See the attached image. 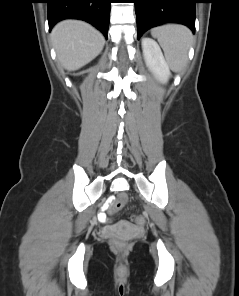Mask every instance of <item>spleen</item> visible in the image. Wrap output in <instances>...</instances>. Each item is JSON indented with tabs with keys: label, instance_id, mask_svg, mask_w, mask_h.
Here are the masks:
<instances>
[{
	"label": "spleen",
	"instance_id": "obj_1",
	"mask_svg": "<svg viewBox=\"0 0 239 296\" xmlns=\"http://www.w3.org/2000/svg\"><path fill=\"white\" fill-rule=\"evenodd\" d=\"M151 34L162 47L169 67L180 72L187 64L191 31L182 25L168 24L154 28Z\"/></svg>",
	"mask_w": 239,
	"mask_h": 296
}]
</instances>
